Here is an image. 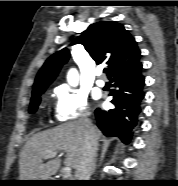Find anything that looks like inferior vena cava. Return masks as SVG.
Here are the masks:
<instances>
[{
  "label": "inferior vena cava",
  "mask_w": 178,
  "mask_h": 186,
  "mask_svg": "<svg viewBox=\"0 0 178 186\" xmlns=\"http://www.w3.org/2000/svg\"><path fill=\"white\" fill-rule=\"evenodd\" d=\"M84 146L82 157L75 171V180H90L93 172L97 141L94 136L92 122L88 118L83 119Z\"/></svg>",
  "instance_id": "inferior-vena-cava-1"
}]
</instances>
